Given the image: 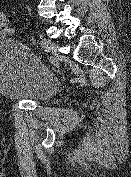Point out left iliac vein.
Masks as SVG:
<instances>
[{
	"label": "left iliac vein",
	"instance_id": "left-iliac-vein-1",
	"mask_svg": "<svg viewBox=\"0 0 131 177\" xmlns=\"http://www.w3.org/2000/svg\"><path fill=\"white\" fill-rule=\"evenodd\" d=\"M49 52L52 54L54 59L59 58V44L51 43L49 46Z\"/></svg>",
	"mask_w": 131,
	"mask_h": 177
}]
</instances>
